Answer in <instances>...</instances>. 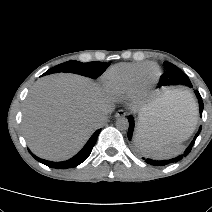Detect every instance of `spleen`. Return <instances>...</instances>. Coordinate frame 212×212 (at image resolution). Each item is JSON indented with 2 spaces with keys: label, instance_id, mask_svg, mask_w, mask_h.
<instances>
[{
  "label": "spleen",
  "instance_id": "obj_1",
  "mask_svg": "<svg viewBox=\"0 0 212 212\" xmlns=\"http://www.w3.org/2000/svg\"><path fill=\"white\" fill-rule=\"evenodd\" d=\"M169 96L176 97L189 111L196 112V103L193 96L188 91L174 90L169 91ZM149 120L148 115L140 114L139 123L136 132L135 141L140 149L154 158H170L179 154L183 150L181 143L185 140L178 134L163 135L157 131H151L145 128Z\"/></svg>",
  "mask_w": 212,
  "mask_h": 212
}]
</instances>
